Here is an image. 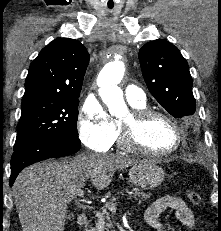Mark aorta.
Returning <instances> with one entry per match:
<instances>
[{"label": "aorta", "mask_w": 221, "mask_h": 231, "mask_svg": "<svg viewBox=\"0 0 221 231\" xmlns=\"http://www.w3.org/2000/svg\"><path fill=\"white\" fill-rule=\"evenodd\" d=\"M119 58L116 56L115 61L106 64L97 78L99 94L112 115H118L126 107L123 92L118 87L125 71L124 64Z\"/></svg>", "instance_id": "762f6f07"}]
</instances>
